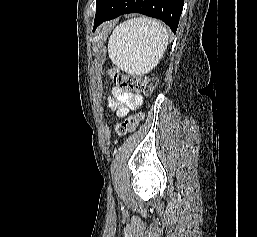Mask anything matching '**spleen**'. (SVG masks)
<instances>
[{"instance_id": "1", "label": "spleen", "mask_w": 257, "mask_h": 237, "mask_svg": "<svg viewBox=\"0 0 257 237\" xmlns=\"http://www.w3.org/2000/svg\"><path fill=\"white\" fill-rule=\"evenodd\" d=\"M168 31L159 21L140 17L117 26L108 42L111 61L132 75L150 72L168 44Z\"/></svg>"}]
</instances>
